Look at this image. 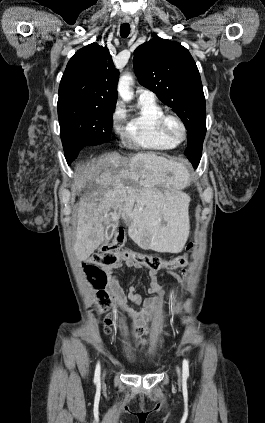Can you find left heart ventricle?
<instances>
[{"mask_svg": "<svg viewBox=\"0 0 265 423\" xmlns=\"http://www.w3.org/2000/svg\"><path fill=\"white\" fill-rule=\"evenodd\" d=\"M169 127H170L171 132H172L175 136H179V135L181 134V127H180V125H179L177 122H175V121H171V122L169 123Z\"/></svg>", "mask_w": 265, "mask_h": 423, "instance_id": "b2bd125f", "label": "left heart ventricle"}]
</instances>
